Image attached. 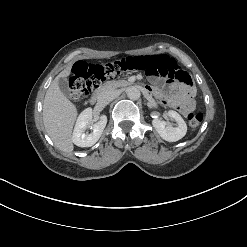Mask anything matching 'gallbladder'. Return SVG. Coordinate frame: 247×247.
<instances>
[{"mask_svg": "<svg viewBox=\"0 0 247 247\" xmlns=\"http://www.w3.org/2000/svg\"><path fill=\"white\" fill-rule=\"evenodd\" d=\"M58 86H59V89L61 90V92L69 97V98H73L71 93H70V88H69V85H68V80L66 78H60L58 80ZM73 99H77V98H73Z\"/></svg>", "mask_w": 247, "mask_h": 247, "instance_id": "gallbladder-1", "label": "gallbladder"}]
</instances>
